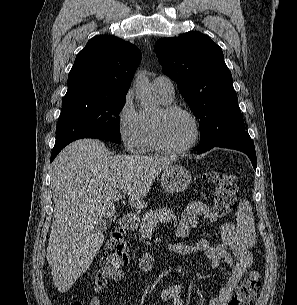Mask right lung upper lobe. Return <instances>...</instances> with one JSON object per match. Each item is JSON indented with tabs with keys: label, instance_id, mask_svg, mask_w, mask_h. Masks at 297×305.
I'll return each instance as SVG.
<instances>
[{
	"label": "right lung upper lobe",
	"instance_id": "1",
	"mask_svg": "<svg viewBox=\"0 0 297 305\" xmlns=\"http://www.w3.org/2000/svg\"><path fill=\"white\" fill-rule=\"evenodd\" d=\"M141 57L130 42L110 35L93 37L77 54L62 102L126 95Z\"/></svg>",
	"mask_w": 297,
	"mask_h": 305
}]
</instances>
